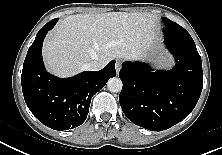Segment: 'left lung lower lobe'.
<instances>
[{
	"mask_svg": "<svg viewBox=\"0 0 222 155\" xmlns=\"http://www.w3.org/2000/svg\"><path fill=\"white\" fill-rule=\"evenodd\" d=\"M164 43L176 65L153 72L148 64L125 62L119 77L123 88L119 102L134 124L162 131L186 118L198 102L203 85L201 57L189 34L164 30Z\"/></svg>",
	"mask_w": 222,
	"mask_h": 155,
	"instance_id": "left-lung-lower-lobe-1",
	"label": "left lung lower lobe"
}]
</instances>
